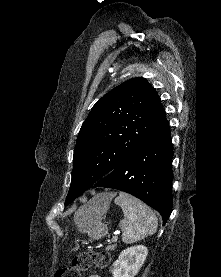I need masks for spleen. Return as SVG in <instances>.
I'll list each match as a JSON object with an SVG mask.
<instances>
[{
    "instance_id": "obj_1",
    "label": "spleen",
    "mask_w": 221,
    "mask_h": 277,
    "mask_svg": "<svg viewBox=\"0 0 221 277\" xmlns=\"http://www.w3.org/2000/svg\"><path fill=\"white\" fill-rule=\"evenodd\" d=\"M124 213L119 226L123 229L122 241L131 244L156 232L158 220L154 212L137 198L120 192L115 198Z\"/></svg>"
}]
</instances>
